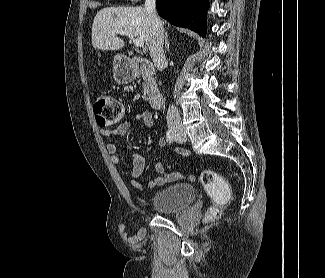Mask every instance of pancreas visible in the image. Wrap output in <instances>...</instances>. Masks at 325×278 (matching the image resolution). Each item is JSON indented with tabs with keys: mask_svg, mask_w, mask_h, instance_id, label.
Here are the masks:
<instances>
[{
	"mask_svg": "<svg viewBox=\"0 0 325 278\" xmlns=\"http://www.w3.org/2000/svg\"><path fill=\"white\" fill-rule=\"evenodd\" d=\"M146 84H147L148 87L145 88L144 92H143V97H144L145 100L148 99V96L150 94V89L155 90V91L157 90L156 82L153 79H151V80L147 79Z\"/></svg>",
	"mask_w": 325,
	"mask_h": 278,
	"instance_id": "cf45deb5",
	"label": "pancreas"
}]
</instances>
